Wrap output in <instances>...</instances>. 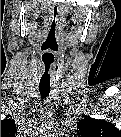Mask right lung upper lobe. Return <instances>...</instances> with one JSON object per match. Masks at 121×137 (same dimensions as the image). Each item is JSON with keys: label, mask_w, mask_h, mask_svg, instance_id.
I'll list each match as a JSON object with an SVG mask.
<instances>
[{"label": "right lung upper lobe", "mask_w": 121, "mask_h": 137, "mask_svg": "<svg viewBox=\"0 0 121 137\" xmlns=\"http://www.w3.org/2000/svg\"><path fill=\"white\" fill-rule=\"evenodd\" d=\"M14 130H15L14 120L12 119L1 120V134L11 133V132L14 134Z\"/></svg>", "instance_id": "right-lung-upper-lobe-1"}]
</instances>
